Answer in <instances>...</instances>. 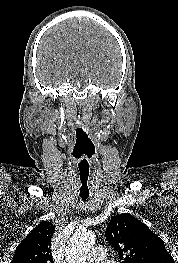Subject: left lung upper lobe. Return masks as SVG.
<instances>
[{
  "instance_id": "left-lung-upper-lobe-1",
  "label": "left lung upper lobe",
  "mask_w": 178,
  "mask_h": 263,
  "mask_svg": "<svg viewBox=\"0 0 178 263\" xmlns=\"http://www.w3.org/2000/svg\"><path fill=\"white\" fill-rule=\"evenodd\" d=\"M106 239L123 263H174L163 240L129 213L111 217Z\"/></svg>"
}]
</instances>
